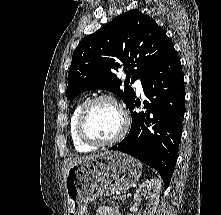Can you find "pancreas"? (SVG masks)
<instances>
[{
  "label": "pancreas",
  "mask_w": 221,
  "mask_h": 215,
  "mask_svg": "<svg viewBox=\"0 0 221 215\" xmlns=\"http://www.w3.org/2000/svg\"><path fill=\"white\" fill-rule=\"evenodd\" d=\"M120 201H122L120 196H113L112 198H107L105 199V201L101 200L102 203H108V204H112L113 206H117L119 207L120 205Z\"/></svg>",
  "instance_id": "1"
}]
</instances>
